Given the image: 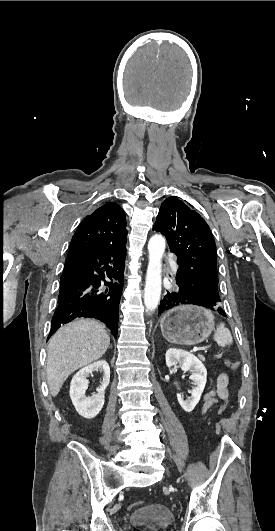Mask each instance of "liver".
Masks as SVG:
<instances>
[{"label": "liver", "instance_id": "1", "mask_svg": "<svg viewBox=\"0 0 275 531\" xmlns=\"http://www.w3.org/2000/svg\"><path fill=\"white\" fill-rule=\"evenodd\" d=\"M110 345L103 325L93 319H79L60 327L47 349V383L52 397H57L67 377L101 359Z\"/></svg>", "mask_w": 275, "mask_h": 531}]
</instances>
